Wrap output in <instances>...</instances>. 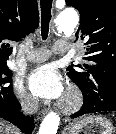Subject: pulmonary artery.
Segmentation results:
<instances>
[{"label":"pulmonary artery","mask_w":116,"mask_h":134,"mask_svg":"<svg viewBox=\"0 0 116 134\" xmlns=\"http://www.w3.org/2000/svg\"><path fill=\"white\" fill-rule=\"evenodd\" d=\"M70 49L71 46L66 40H60L53 45L51 51L48 49H35L26 55V59L29 62L39 63L48 60L52 55V53L54 54L67 53L68 51H70Z\"/></svg>","instance_id":"e3ab8cb5"}]
</instances>
